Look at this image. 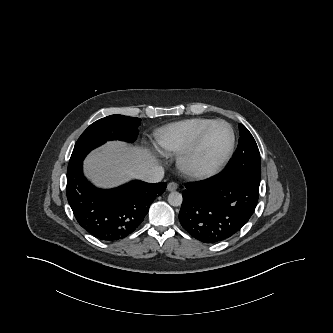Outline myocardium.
I'll use <instances>...</instances> for the list:
<instances>
[{
    "mask_svg": "<svg viewBox=\"0 0 333 333\" xmlns=\"http://www.w3.org/2000/svg\"><path fill=\"white\" fill-rule=\"evenodd\" d=\"M217 124H223L225 125L229 132H230V144L229 147L227 149V151L225 152L224 156L220 159V161L218 163H216L215 165H213L210 168H206V169H202L199 168L195 165L194 163V158L196 156V154L198 153V151L200 150V148L203 145V142L208 134V132L211 130V128L214 125ZM235 133L233 128L231 127V125L225 121V120H214L213 122H211L210 124H208L196 137V139L194 140V142L186 149L184 150L181 155L178 158V165L180 167V169L193 177L196 178H209L212 177L214 175H216L217 173H219L224 166L227 164V162L229 161V159L231 158L233 151H234V147H235Z\"/></svg>",
    "mask_w": 333,
    "mask_h": 333,
    "instance_id": "obj_1",
    "label": "myocardium"
}]
</instances>
